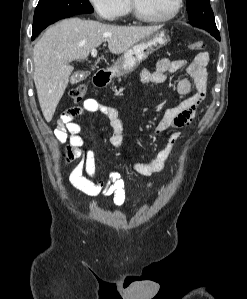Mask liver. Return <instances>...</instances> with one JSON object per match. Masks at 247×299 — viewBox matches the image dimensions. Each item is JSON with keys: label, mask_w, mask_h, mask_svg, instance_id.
<instances>
[{"label": "liver", "mask_w": 247, "mask_h": 299, "mask_svg": "<svg viewBox=\"0 0 247 299\" xmlns=\"http://www.w3.org/2000/svg\"><path fill=\"white\" fill-rule=\"evenodd\" d=\"M161 27L118 26L73 17L46 29L33 49V79L45 120H52L65 92L72 61L86 59L103 42H108L112 54L124 53Z\"/></svg>", "instance_id": "1"}]
</instances>
